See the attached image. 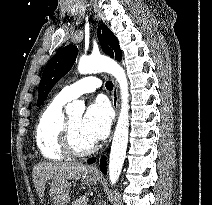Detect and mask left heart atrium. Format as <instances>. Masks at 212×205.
<instances>
[{"instance_id": "1", "label": "left heart atrium", "mask_w": 212, "mask_h": 205, "mask_svg": "<svg viewBox=\"0 0 212 205\" xmlns=\"http://www.w3.org/2000/svg\"><path fill=\"white\" fill-rule=\"evenodd\" d=\"M112 113L104 101L91 104L82 118V130L92 141L104 139L110 130Z\"/></svg>"}]
</instances>
